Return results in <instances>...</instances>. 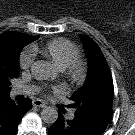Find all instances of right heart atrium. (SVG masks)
I'll return each instance as SVG.
<instances>
[{
	"mask_svg": "<svg viewBox=\"0 0 135 135\" xmlns=\"http://www.w3.org/2000/svg\"><path fill=\"white\" fill-rule=\"evenodd\" d=\"M18 62L21 69L25 71L29 70L34 62L33 51L29 49L22 51L19 55Z\"/></svg>",
	"mask_w": 135,
	"mask_h": 135,
	"instance_id": "obj_1",
	"label": "right heart atrium"
}]
</instances>
